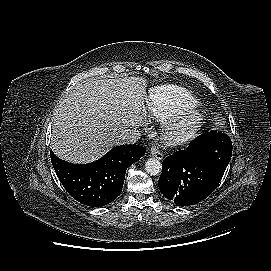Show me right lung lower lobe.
I'll return each mask as SVG.
<instances>
[{"label": "right lung lower lobe", "mask_w": 271, "mask_h": 271, "mask_svg": "<svg viewBox=\"0 0 271 271\" xmlns=\"http://www.w3.org/2000/svg\"><path fill=\"white\" fill-rule=\"evenodd\" d=\"M145 151L139 145L114 147L98 161L82 165L61 160L52 151L50 156L66 191L84 205L100 207L119 196L126 169L138 161Z\"/></svg>", "instance_id": "1"}]
</instances>
